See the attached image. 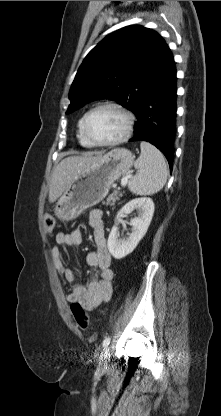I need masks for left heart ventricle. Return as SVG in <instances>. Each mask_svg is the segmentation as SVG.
<instances>
[{
  "mask_svg": "<svg viewBox=\"0 0 221 416\" xmlns=\"http://www.w3.org/2000/svg\"><path fill=\"white\" fill-rule=\"evenodd\" d=\"M125 127L123 115L113 108H102L88 119L87 131L97 141H108L120 136Z\"/></svg>",
  "mask_w": 221,
  "mask_h": 416,
  "instance_id": "1",
  "label": "left heart ventricle"
}]
</instances>
